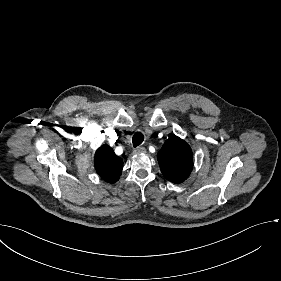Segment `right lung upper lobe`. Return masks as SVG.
I'll return each instance as SVG.
<instances>
[{"mask_svg": "<svg viewBox=\"0 0 281 281\" xmlns=\"http://www.w3.org/2000/svg\"><path fill=\"white\" fill-rule=\"evenodd\" d=\"M94 163L97 173L106 182H116L122 173L123 160L107 145L96 151Z\"/></svg>", "mask_w": 281, "mask_h": 281, "instance_id": "1", "label": "right lung upper lobe"}]
</instances>
